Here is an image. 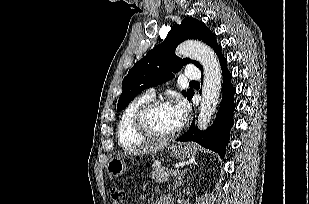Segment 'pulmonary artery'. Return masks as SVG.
Returning a JSON list of instances; mask_svg holds the SVG:
<instances>
[{"label":"pulmonary artery","instance_id":"pulmonary-artery-1","mask_svg":"<svg viewBox=\"0 0 309 204\" xmlns=\"http://www.w3.org/2000/svg\"><path fill=\"white\" fill-rule=\"evenodd\" d=\"M185 79L187 80H198L200 78V71L196 68H188L184 72ZM150 94H153L154 91L151 89Z\"/></svg>","mask_w":309,"mask_h":204}]
</instances>
